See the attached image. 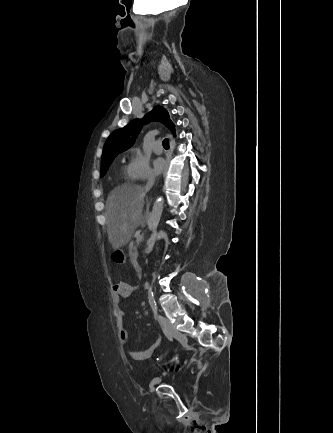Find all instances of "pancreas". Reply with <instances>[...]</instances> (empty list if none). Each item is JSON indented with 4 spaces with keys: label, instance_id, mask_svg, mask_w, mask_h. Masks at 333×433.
<instances>
[{
    "label": "pancreas",
    "instance_id": "cf45deb5",
    "mask_svg": "<svg viewBox=\"0 0 333 433\" xmlns=\"http://www.w3.org/2000/svg\"><path fill=\"white\" fill-rule=\"evenodd\" d=\"M139 246V242L136 241V243H131L129 245V256L131 259V262L133 265H136L137 262V257H138V251H137V247Z\"/></svg>",
    "mask_w": 333,
    "mask_h": 433
}]
</instances>
